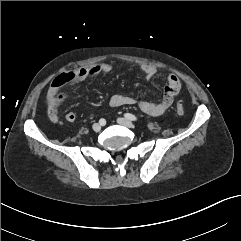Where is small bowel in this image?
I'll return each instance as SVG.
<instances>
[{"instance_id": "1", "label": "small bowel", "mask_w": 241, "mask_h": 241, "mask_svg": "<svg viewBox=\"0 0 241 241\" xmlns=\"http://www.w3.org/2000/svg\"><path fill=\"white\" fill-rule=\"evenodd\" d=\"M112 69L113 67L109 63H99L81 67L74 70L72 73L75 75L74 82H77L90 77L110 73ZM141 72L146 79H152L156 75L157 69L152 65H144L141 67ZM180 89V79L176 75L170 74L167 77L162 98L158 102L137 100L130 96L116 94L110 98L109 104L111 107L136 105L145 114L156 117L162 115L171 106L174 97L178 94ZM66 97L67 94L62 90V87H52L49 89L47 95V112L49 120L52 123L59 122L58 108L60 104L66 99ZM65 119L66 121L72 123L76 120V114L72 111H69L65 114Z\"/></svg>"}]
</instances>
